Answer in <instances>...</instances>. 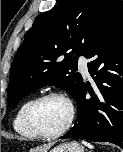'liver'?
Returning <instances> with one entry per match:
<instances>
[{"instance_id": "obj_1", "label": "liver", "mask_w": 123, "mask_h": 152, "mask_svg": "<svg viewBox=\"0 0 123 152\" xmlns=\"http://www.w3.org/2000/svg\"><path fill=\"white\" fill-rule=\"evenodd\" d=\"M51 146H52V144H46L43 146L33 148L29 152H48V150L51 148Z\"/></svg>"}]
</instances>
